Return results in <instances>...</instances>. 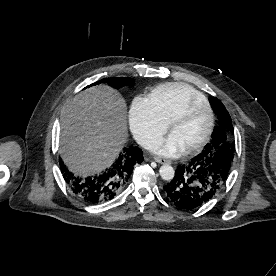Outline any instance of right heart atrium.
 Segmentation results:
<instances>
[{"mask_svg":"<svg viewBox=\"0 0 276 276\" xmlns=\"http://www.w3.org/2000/svg\"><path fill=\"white\" fill-rule=\"evenodd\" d=\"M130 124L135 137L146 148L156 144L168 129V122L145 98L134 99L130 109Z\"/></svg>","mask_w":276,"mask_h":276,"instance_id":"right-heart-atrium-1","label":"right heart atrium"}]
</instances>
